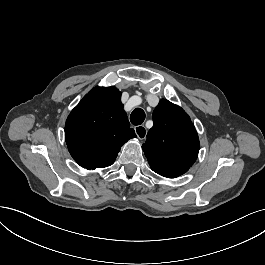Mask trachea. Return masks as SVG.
Returning <instances> with one entry per match:
<instances>
[{
    "label": "trachea",
    "instance_id": "1",
    "mask_svg": "<svg viewBox=\"0 0 265 265\" xmlns=\"http://www.w3.org/2000/svg\"><path fill=\"white\" fill-rule=\"evenodd\" d=\"M145 120V112L141 108H136L130 115V121L133 125H140Z\"/></svg>",
    "mask_w": 265,
    "mask_h": 265
}]
</instances>
